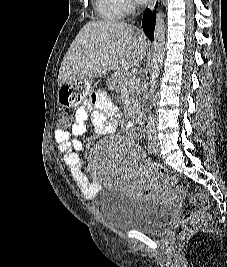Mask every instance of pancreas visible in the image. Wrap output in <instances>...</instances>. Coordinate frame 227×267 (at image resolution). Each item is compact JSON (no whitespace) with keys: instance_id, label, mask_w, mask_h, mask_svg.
Instances as JSON below:
<instances>
[{"instance_id":"cf45deb5","label":"pancreas","mask_w":227,"mask_h":267,"mask_svg":"<svg viewBox=\"0 0 227 267\" xmlns=\"http://www.w3.org/2000/svg\"><path fill=\"white\" fill-rule=\"evenodd\" d=\"M131 74L126 71H118L109 78V85L117 92L124 93L127 89L125 98L126 107L136 106L138 104L139 88L135 81L130 80Z\"/></svg>"}]
</instances>
